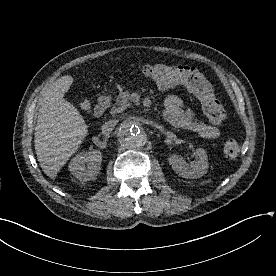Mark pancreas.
I'll return each mask as SVG.
<instances>
[{"label":"pancreas","instance_id":"cf45deb5","mask_svg":"<svg viewBox=\"0 0 276 276\" xmlns=\"http://www.w3.org/2000/svg\"><path fill=\"white\" fill-rule=\"evenodd\" d=\"M115 102L117 106L112 107L111 114L120 113L130 107V93L128 91H121L116 97Z\"/></svg>","mask_w":276,"mask_h":276}]
</instances>
